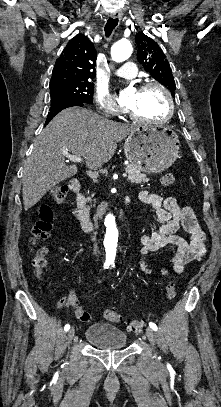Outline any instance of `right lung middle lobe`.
<instances>
[{"label": "right lung middle lobe", "mask_w": 221, "mask_h": 407, "mask_svg": "<svg viewBox=\"0 0 221 407\" xmlns=\"http://www.w3.org/2000/svg\"><path fill=\"white\" fill-rule=\"evenodd\" d=\"M94 84L80 82L51 89V105L64 100H76L84 103H93Z\"/></svg>", "instance_id": "dd1d6c3e"}]
</instances>
